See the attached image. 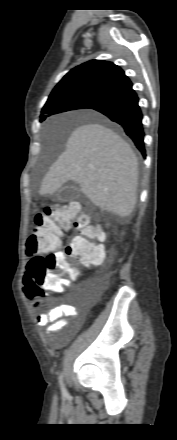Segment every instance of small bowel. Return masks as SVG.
<instances>
[{
  "mask_svg": "<svg viewBox=\"0 0 177 440\" xmlns=\"http://www.w3.org/2000/svg\"><path fill=\"white\" fill-rule=\"evenodd\" d=\"M26 274L31 275V271L28 267H26ZM67 287L68 284H66L65 287L61 288L59 291H63ZM77 317H79V311L77 308L71 305L63 304L53 307L49 311L41 314L38 317V323L39 325L46 327V333L56 344H61L70 338L73 331L78 329L82 319H80L76 324H73L69 320V318ZM62 330H68V332L60 338H53L51 336L53 333H57Z\"/></svg>",
  "mask_w": 177,
  "mask_h": 440,
  "instance_id": "small-bowel-1",
  "label": "small bowel"
}]
</instances>
